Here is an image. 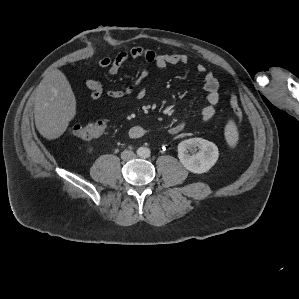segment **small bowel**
<instances>
[{
	"label": "small bowel",
	"instance_id": "small-bowel-1",
	"mask_svg": "<svg viewBox=\"0 0 299 299\" xmlns=\"http://www.w3.org/2000/svg\"><path fill=\"white\" fill-rule=\"evenodd\" d=\"M144 59L149 64H154L157 69H164L168 65L187 64L189 58L185 54H158L153 50L143 47H133L129 51H123L118 53L115 57H103L99 60V66L108 70L110 75H116L121 67L130 59ZM196 71L203 76L204 90L206 92V101L208 103L200 111V119L203 122L211 121L216 114V105L220 100L219 82L214 74L206 69L203 64L196 66ZM150 69L148 67L142 68L137 74L134 82L124 89H112L107 90L105 94L112 99H120L130 94L135 93L137 99H142L146 96L147 90L140 88L142 82L149 76ZM86 87L90 90V97L92 100L100 99L103 94L102 84L92 78H88L85 81ZM185 124L183 122L173 126L170 129V134H177L184 129ZM145 134V130L140 125H134L129 130V135L133 139L142 138Z\"/></svg>",
	"mask_w": 299,
	"mask_h": 299
}]
</instances>
